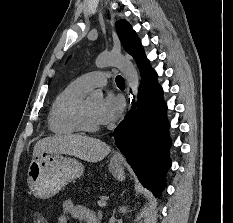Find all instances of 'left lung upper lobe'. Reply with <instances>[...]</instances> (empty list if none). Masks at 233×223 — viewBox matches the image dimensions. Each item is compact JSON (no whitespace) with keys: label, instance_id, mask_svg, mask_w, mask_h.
<instances>
[{"label":"left lung upper lobe","instance_id":"1","mask_svg":"<svg viewBox=\"0 0 233 223\" xmlns=\"http://www.w3.org/2000/svg\"><path fill=\"white\" fill-rule=\"evenodd\" d=\"M116 30L126 52L136 59L143 51V48L135 31L125 20L116 23Z\"/></svg>","mask_w":233,"mask_h":223}]
</instances>
